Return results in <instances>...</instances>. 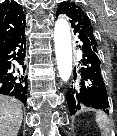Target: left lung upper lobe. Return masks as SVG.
<instances>
[{"label": "left lung upper lobe", "instance_id": "5c2ea615", "mask_svg": "<svg viewBox=\"0 0 117 136\" xmlns=\"http://www.w3.org/2000/svg\"><path fill=\"white\" fill-rule=\"evenodd\" d=\"M56 14H65L70 18L74 31L81 32L91 42L93 50L99 55V46L95 31L86 12L74 2L61 3Z\"/></svg>", "mask_w": 117, "mask_h": 136}]
</instances>
